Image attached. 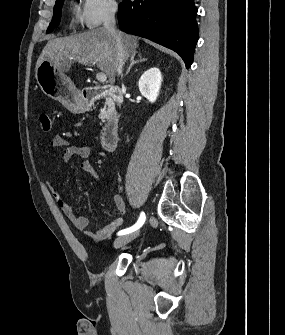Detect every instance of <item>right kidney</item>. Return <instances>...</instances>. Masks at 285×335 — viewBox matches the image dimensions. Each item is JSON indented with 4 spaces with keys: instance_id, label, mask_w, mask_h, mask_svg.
Returning <instances> with one entry per match:
<instances>
[{
    "instance_id": "obj_1",
    "label": "right kidney",
    "mask_w": 285,
    "mask_h": 335,
    "mask_svg": "<svg viewBox=\"0 0 285 335\" xmlns=\"http://www.w3.org/2000/svg\"><path fill=\"white\" fill-rule=\"evenodd\" d=\"M162 78L159 68H150L147 72L142 74L139 82L138 88L149 102H156L159 96V90L161 86Z\"/></svg>"
}]
</instances>
